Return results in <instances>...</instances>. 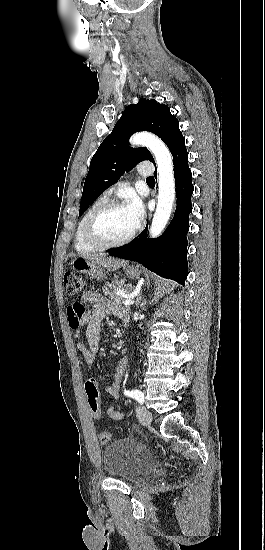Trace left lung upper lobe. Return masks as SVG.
Listing matches in <instances>:
<instances>
[{"instance_id":"left-lung-upper-lobe-1","label":"left lung upper lobe","mask_w":265,"mask_h":550,"mask_svg":"<svg viewBox=\"0 0 265 550\" xmlns=\"http://www.w3.org/2000/svg\"><path fill=\"white\" fill-rule=\"evenodd\" d=\"M144 130L160 137L167 144L171 154L184 142L179 121L166 105L159 104L154 99H140L137 104L129 105L91 159L79 216L106 188L116 183L125 171H130L143 160L155 164L148 149L132 148L127 143L131 134Z\"/></svg>"}]
</instances>
